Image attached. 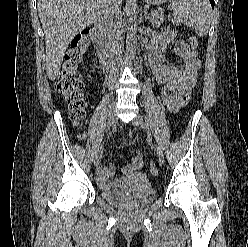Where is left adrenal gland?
<instances>
[{
  "instance_id": "a2214340",
  "label": "left adrenal gland",
  "mask_w": 248,
  "mask_h": 247,
  "mask_svg": "<svg viewBox=\"0 0 248 247\" xmlns=\"http://www.w3.org/2000/svg\"><path fill=\"white\" fill-rule=\"evenodd\" d=\"M144 16H145V21L150 20L153 23V17H150V14L148 13L147 9H144Z\"/></svg>"
}]
</instances>
